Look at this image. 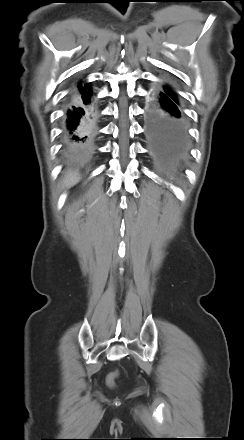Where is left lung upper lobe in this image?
<instances>
[{
  "label": "left lung upper lobe",
  "mask_w": 244,
  "mask_h": 440,
  "mask_svg": "<svg viewBox=\"0 0 244 440\" xmlns=\"http://www.w3.org/2000/svg\"><path fill=\"white\" fill-rule=\"evenodd\" d=\"M167 92H169L170 94H172L173 96H175L176 98H178L177 97V95H176V93L169 87V86H164L163 87Z\"/></svg>",
  "instance_id": "5c2ea615"
}]
</instances>
